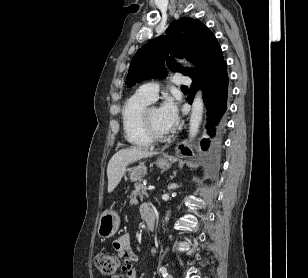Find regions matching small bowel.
Wrapping results in <instances>:
<instances>
[{
    "label": "small bowel",
    "mask_w": 308,
    "mask_h": 278,
    "mask_svg": "<svg viewBox=\"0 0 308 278\" xmlns=\"http://www.w3.org/2000/svg\"><path fill=\"white\" fill-rule=\"evenodd\" d=\"M154 214L153 208L149 205L141 207V214L145 218L148 214ZM115 253L124 260L122 273L115 274L111 278H138L133 264L138 260V256L131 247V240L129 234H123L119 239L113 243ZM156 248L152 249V254L155 255Z\"/></svg>",
    "instance_id": "1"
}]
</instances>
